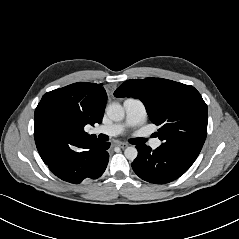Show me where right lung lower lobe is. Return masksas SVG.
Here are the masks:
<instances>
[{
    "label": "right lung lower lobe",
    "mask_w": 239,
    "mask_h": 239,
    "mask_svg": "<svg viewBox=\"0 0 239 239\" xmlns=\"http://www.w3.org/2000/svg\"><path fill=\"white\" fill-rule=\"evenodd\" d=\"M109 147V142L98 139L73 140L59 145L44 162L63 181L78 184L103 174L109 160Z\"/></svg>",
    "instance_id": "right-lung-lower-lobe-1"
}]
</instances>
